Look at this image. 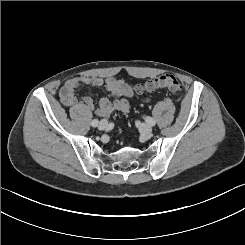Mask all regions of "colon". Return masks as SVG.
Here are the masks:
<instances>
[{
  "label": "colon",
  "instance_id": "colon-1",
  "mask_svg": "<svg viewBox=\"0 0 245 245\" xmlns=\"http://www.w3.org/2000/svg\"><path fill=\"white\" fill-rule=\"evenodd\" d=\"M134 93H143L145 91H154L157 89H167L175 92L180 89L178 79L171 74H160L150 78L144 83H135L129 86Z\"/></svg>",
  "mask_w": 245,
  "mask_h": 245
}]
</instances>
